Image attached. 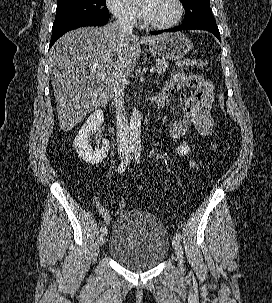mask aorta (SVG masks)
Returning a JSON list of instances; mask_svg holds the SVG:
<instances>
[{
    "label": "aorta",
    "mask_w": 272,
    "mask_h": 303,
    "mask_svg": "<svg viewBox=\"0 0 272 303\" xmlns=\"http://www.w3.org/2000/svg\"><path fill=\"white\" fill-rule=\"evenodd\" d=\"M141 122L142 116L138 108L134 107L130 117V143L133 146L141 144Z\"/></svg>",
    "instance_id": "aorta-1"
}]
</instances>
